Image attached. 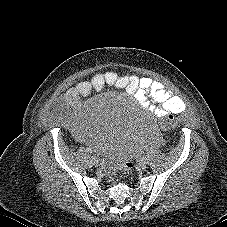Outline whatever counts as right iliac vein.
I'll return each mask as SVG.
<instances>
[{"label":"right iliac vein","mask_w":227,"mask_h":227,"mask_svg":"<svg viewBox=\"0 0 227 227\" xmlns=\"http://www.w3.org/2000/svg\"><path fill=\"white\" fill-rule=\"evenodd\" d=\"M92 163H93V165H94L95 167L99 166V161H98L97 158L92 159Z\"/></svg>","instance_id":"63e3f726"}]
</instances>
